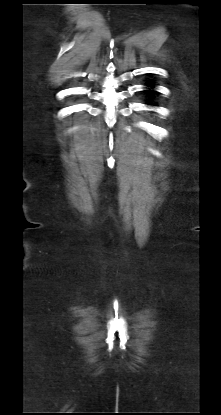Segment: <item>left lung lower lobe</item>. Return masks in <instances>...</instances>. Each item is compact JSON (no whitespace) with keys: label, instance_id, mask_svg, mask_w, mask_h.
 I'll return each instance as SVG.
<instances>
[{"label":"left lung lower lobe","instance_id":"obj_1","mask_svg":"<svg viewBox=\"0 0 221 415\" xmlns=\"http://www.w3.org/2000/svg\"><path fill=\"white\" fill-rule=\"evenodd\" d=\"M147 86H148V87H152L153 85H152L151 83H148V84H147ZM146 92H147L148 94H154V93H155V91H154V90H152V89H147V90H146Z\"/></svg>","mask_w":221,"mask_h":415}]
</instances>
